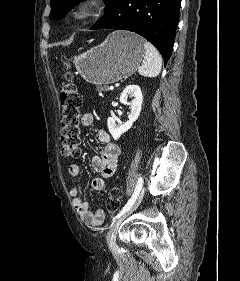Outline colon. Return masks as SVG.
<instances>
[{
    "instance_id": "5ec220e1",
    "label": "colon",
    "mask_w": 240,
    "mask_h": 281,
    "mask_svg": "<svg viewBox=\"0 0 240 281\" xmlns=\"http://www.w3.org/2000/svg\"><path fill=\"white\" fill-rule=\"evenodd\" d=\"M68 69L69 64H65ZM60 102L62 107L61 120V153L66 158H77L80 154V111L82 96L73 82L71 74L66 72L60 91ZM121 190L114 186L109 192L106 202L107 211L114 214L120 207Z\"/></svg>"
}]
</instances>
